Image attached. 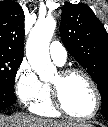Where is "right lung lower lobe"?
Returning <instances> with one entry per match:
<instances>
[{
  "label": "right lung lower lobe",
  "instance_id": "obj_1",
  "mask_svg": "<svg viewBox=\"0 0 108 127\" xmlns=\"http://www.w3.org/2000/svg\"><path fill=\"white\" fill-rule=\"evenodd\" d=\"M16 100L14 92H10L0 88V110L12 105Z\"/></svg>",
  "mask_w": 108,
  "mask_h": 127
}]
</instances>
